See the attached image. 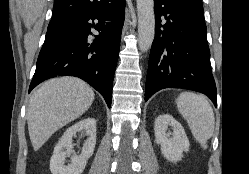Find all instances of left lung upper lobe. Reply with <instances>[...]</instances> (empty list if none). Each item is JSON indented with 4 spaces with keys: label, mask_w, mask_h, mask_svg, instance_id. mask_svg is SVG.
Segmentation results:
<instances>
[{
    "label": "left lung upper lobe",
    "mask_w": 249,
    "mask_h": 174,
    "mask_svg": "<svg viewBox=\"0 0 249 174\" xmlns=\"http://www.w3.org/2000/svg\"><path fill=\"white\" fill-rule=\"evenodd\" d=\"M187 13L204 20L202 0H171Z\"/></svg>",
    "instance_id": "obj_1"
}]
</instances>
